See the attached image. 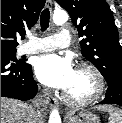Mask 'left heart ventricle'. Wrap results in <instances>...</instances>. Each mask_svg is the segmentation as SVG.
<instances>
[{
    "label": "left heart ventricle",
    "instance_id": "1",
    "mask_svg": "<svg viewBox=\"0 0 122 123\" xmlns=\"http://www.w3.org/2000/svg\"><path fill=\"white\" fill-rule=\"evenodd\" d=\"M97 88L94 74L86 69L76 70L74 80L66 92L75 99L91 96Z\"/></svg>",
    "mask_w": 122,
    "mask_h": 123
}]
</instances>
